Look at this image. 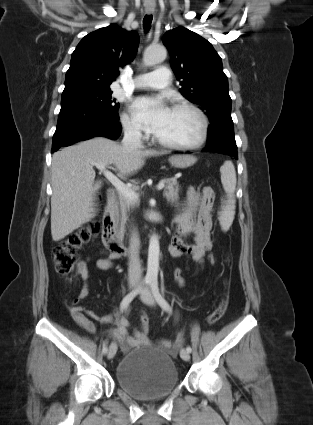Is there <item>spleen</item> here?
<instances>
[{"label": "spleen", "instance_id": "1", "mask_svg": "<svg viewBox=\"0 0 313 425\" xmlns=\"http://www.w3.org/2000/svg\"><path fill=\"white\" fill-rule=\"evenodd\" d=\"M221 182L224 191L227 194V202L223 210L219 214V222L222 230L227 231L235 215V190H236V172L232 161H225L220 167Z\"/></svg>", "mask_w": 313, "mask_h": 425}]
</instances>
